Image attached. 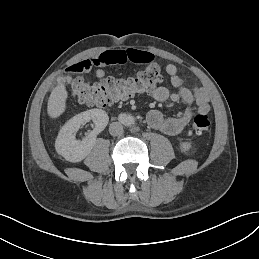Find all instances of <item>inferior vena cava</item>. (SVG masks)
I'll return each mask as SVG.
<instances>
[{
	"instance_id": "inferior-vena-cava-1",
	"label": "inferior vena cava",
	"mask_w": 259,
	"mask_h": 259,
	"mask_svg": "<svg viewBox=\"0 0 259 259\" xmlns=\"http://www.w3.org/2000/svg\"><path fill=\"white\" fill-rule=\"evenodd\" d=\"M109 132L113 136H118L123 133V126L119 122H113L110 124Z\"/></svg>"
}]
</instances>
